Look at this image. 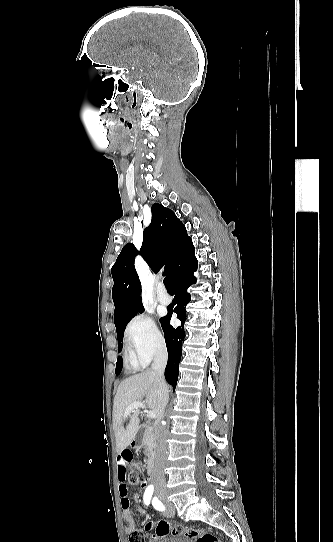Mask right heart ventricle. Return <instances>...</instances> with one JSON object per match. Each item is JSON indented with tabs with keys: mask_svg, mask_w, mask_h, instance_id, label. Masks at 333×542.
Masks as SVG:
<instances>
[{
	"mask_svg": "<svg viewBox=\"0 0 333 542\" xmlns=\"http://www.w3.org/2000/svg\"><path fill=\"white\" fill-rule=\"evenodd\" d=\"M124 358L126 366L134 371L145 368L150 361L137 347L133 346H126Z\"/></svg>",
	"mask_w": 333,
	"mask_h": 542,
	"instance_id": "e07e8e85",
	"label": "right heart ventricle"
}]
</instances>
